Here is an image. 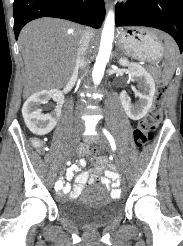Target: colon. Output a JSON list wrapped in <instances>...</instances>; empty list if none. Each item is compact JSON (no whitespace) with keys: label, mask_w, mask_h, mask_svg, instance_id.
Here are the masks:
<instances>
[{"label":"colon","mask_w":183,"mask_h":246,"mask_svg":"<svg viewBox=\"0 0 183 246\" xmlns=\"http://www.w3.org/2000/svg\"><path fill=\"white\" fill-rule=\"evenodd\" d=\"M166 96V87L159 85L156 91L154 103L149 113L139 122L134 132L136 144L141 147L147 144L153 137L154 131L163 118V104ZM34 145L40 147L39 142L35 141ZM92 154H100V149H92Z\"/></svg>","instance_id":"obj_1"}]
</instances>
